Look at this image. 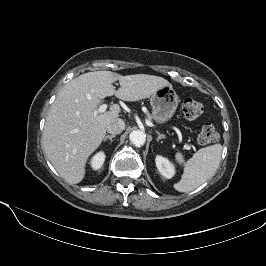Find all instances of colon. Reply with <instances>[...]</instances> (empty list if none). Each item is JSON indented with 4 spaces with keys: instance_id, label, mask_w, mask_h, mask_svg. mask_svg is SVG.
Wrapping results in <instances>:
<instances>
[{
    "instance_id": "colon-1",
    "label": "colon",
    "mask_w": 266,
    "mask_h": 266,
    "mask_svg": "<svg viewBox=\"0 0 266 266\" xmlns=\"http://www.w3.org/2000/svg\"><path fill=\"white\" fill-rule=\"evenodd\" d=\"M183 114L187 119L194 120L203 113V105L191 98L186 99L182 104ZM219 140V133L212 124L204 125L198 135V142L201 145L214 144Z\"/></svg>"
}]
</instances>
